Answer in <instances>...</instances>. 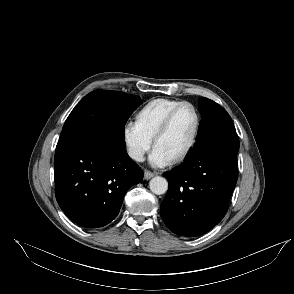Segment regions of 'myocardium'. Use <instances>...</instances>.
I'll return each instance as SVG.
<instances>
[{
  "instance_id": "1",
  "label": "myocardium",
  "mask_w": 294,
  "mask_h": 294,
  "mask_svg": "<svg viewBox=\"0 0 294 294\" xmlns=\"http://www.w3.org/2000/svg\"><path fill=\"white\" fill-rule=\"evenodd\" d=\"M185 106L190 107L192 109V111L195 115V118H196V125H195L193 136H192L189 144L187 145V147L184 149V151L180 155H178L175 159L172 160V163H174V164H177V163L184 161L190 155V153L193 151L194 147L196 146V144L198 142L200 132H201V127H202V118H201V114H200L198 108L196 107V105L193 104L192 102H189V101H181L179 104L174 106L167 113V115L164 117L163 121L161 122L160 126L158 127V129L155 132L154 137H153V145L155 147L157 141L169 129L177 112Z\"/></svg>"
}]
</instances>
